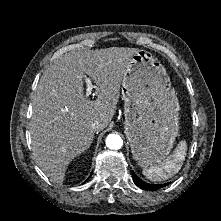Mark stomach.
Returning a JSON list of instances; mask_svg holds the SVG:
<instances>
[{
    "label": "stomach",
    "instance_id": "1",
    "mask_svg": "<svg viewBox=\"0 0 221 221\" xmlns=\"http://www.w3.org/2000/svg\"><path fill=\"white\" fill-rule=\"evenodd\" d=\"M125 134L141 167L162 163L179 134V101L165 67L152 53L139 50L122 79Z\"/></svg>",
    "mask_w": 221,
    "mask_h": 221
}]
</instances>
